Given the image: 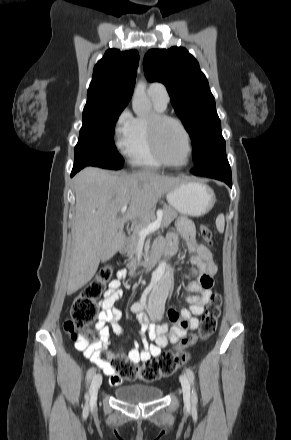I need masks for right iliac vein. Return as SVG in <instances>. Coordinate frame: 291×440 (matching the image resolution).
<instances>
[{
  "label": "right iliac vein",
  "mask_w": 291,
  "mask_h": 440,
  "mask_svg": "<svg viewBox=\"0 0 291 440\" xmlns=\"http://www.w3.org/2000/svg\"><path fill=\"white\" fill-rule=\"evenodd\" d=\"M102 384V376L100 374H95L91 380V384L89 387V395H90V405L94 406L97 401L98 390Z\"/></svg>",
  "instance_id": "right-iliac-vein-1"
}]
</instances>
